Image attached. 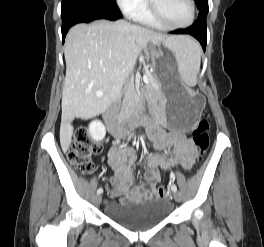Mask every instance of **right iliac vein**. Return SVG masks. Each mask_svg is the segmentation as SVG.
Returning a JSON list of instances; mask_svg holds the SVG:
<instances>
[{
    "mask_svg": "<svg viewBox=\"0 0 264 247\" xmlns=\"http://www.w3.org/2000/svg\"><path fill=\"white\" fill-rule=\"evenodd\" d=\"M93 200L96 205H99L101 203L102 197L98 194L94 196Z\"/></svg>",
    "mask_w": 264,
    "mask_h": 247,
    "instance_id": "1",
    "label": "right iliac vein"
}]
</instances>
